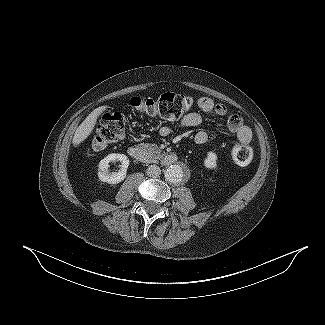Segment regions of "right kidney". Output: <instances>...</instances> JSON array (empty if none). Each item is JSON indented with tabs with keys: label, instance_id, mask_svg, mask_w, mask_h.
<instances>
[{
	"label": "right kidney",
	"instance_id": "right-kidney-1",
	"mask_svg": "<svg viewBox=\"0 0 325 325\" xmlns=\"http://www.w3.org/2000/svg\"><path fill=\"white\" fill-rule=\"evenodd\" d=\"M120 161V170L118 172H109V162ZM129 159L124 154L112 153L103 158L98 165V177L101 181L109 184H117L126 178Z\"/></svg>",
	"mask_w": 325,
	"mask_h": 325
}]
</instances>
